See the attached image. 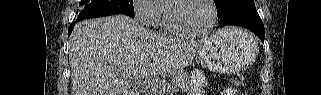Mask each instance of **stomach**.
Wrapping results in <instances>:
<instances>
[{
	"instance_id": "0dacf381",
	"label": "stomach",
	"mask_w": 321,
	"mask_h": 95,
	"mask_svg": "<svg viewBox=\"0 0 321 95\" xmlns=\"http://www.w3.org/2000/svg\"><path fill=\"white\" fill-rule=\"evenodd\" d=\"M258 54L255 38L237 28H225L209 38L198 52L206 68L219 73H235L248 67Z\"/></svg>"
}]
</instances>
